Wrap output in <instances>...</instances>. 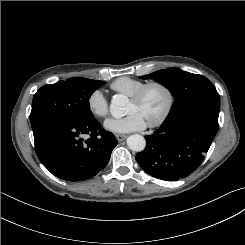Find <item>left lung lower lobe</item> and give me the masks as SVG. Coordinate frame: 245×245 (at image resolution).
<instances>
[{
    "label": "left lung lower lobe",
    "mask_w": 245,
    "mask_h": 245,
    "mask_svg": "<svg viewBox=\"0 0 245 245\" xmlns=\"http://www.w3.org/2000/svg\"><path fill=\"white\" fill-rule=\"evenodd\" d=\"M219 110H189L145 136L146 148L137 153L139 165L151 176L166 181L186 177L202 163L217 131Z\"/></svg>",
    "instance_id": "obj_1"
}]
</instances>
